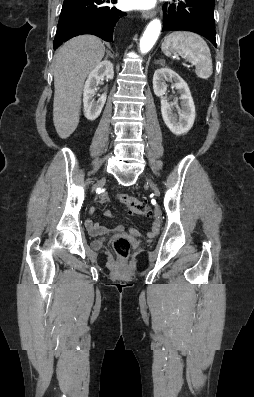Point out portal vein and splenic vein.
Here are the masks:
<instances>
[{"mask_svg":"<svg viewBox=\"0 0 254 397\" xmlns=\"http://www.w3.org/2000/svg\"><path fill=\"white\" fill-rule=\"evenodd\" d=\"M185 64V63H184ZM188 68L191 67V65L185 64Z\"/></svg>","mask_w":254,"mask_h":397,"instance_id":"18ae733b","label":"portal vein and splenic vein"}]
</instances>
